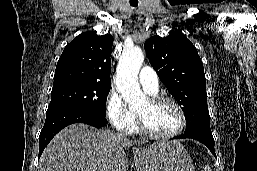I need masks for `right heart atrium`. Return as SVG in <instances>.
Returning <instances> with one entry per match:
<instances>
[{
    "label": "right heart atrium",
    "mask_w": 257,
    "mask_h": 171,
    "mask_svg": "<svg viewBox=\"0 0 257 171\" xmlns=\"http://www.w3.org/2000/svg\"><path fill=\"white\" fill-rule=\"evenodd\" d=\"M105 112L113 127L121 132H129L135 124V113L128 108L122 96L115 90H111L107 95Z\"/></svg>",
    "instance_id": "d8ad5b80"
}]
</instances>
